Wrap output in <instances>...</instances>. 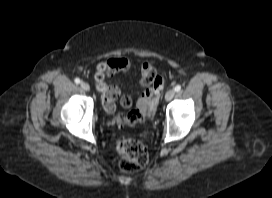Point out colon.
Listing matches in <instances>:
<instances>
[{"label":"colon","instance_id":"5ec220e1","mask_svg":"<svg viewBox=\"0 0 272 198\" xmlns=\"http://www.w3.org/2000/svg\"><path fill=\"white\" fill-rule=\"evenodd\" d=\"M111 74L109 64H101L97 68L95 75L97 87L103 93L110 90L111 87L106 83V79ZM155 79H147L143 82L145 86L151 85ZM160 82V81H159ZM147 102H139L137 107L131 110L128 114H119L115 118L118 125L133 126L138 123H143L147 116ZM117 150L121 155L120 169L125 173H134L144 168L148 163V153L145 146L139 141L132 138H122L117 143Z\"/></svg>","mask_w":272,"mask_h":198}]
</instances>
